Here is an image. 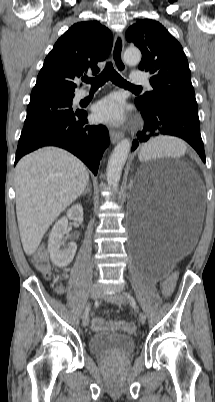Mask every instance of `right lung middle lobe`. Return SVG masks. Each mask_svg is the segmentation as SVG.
Instances as JSON below:
<instances>
[{
    "mask_svg": "<svg viewBox=\"0 0 215 402\" xmlns=\"http://www.w3.org/2000/svg\"><path fill=\"white\" fill-rule=\"evenodd\" d=\"M73 97L52 96L30 100L27 116L19 140L25 139L37 130L59 122L75 113Z\"/></svg>",
    "mask_w": 215,
    "mask_h": 402,
    "instance_id": "obj_1",
    "label": "right lung middle lobe"
}]
</instances>
